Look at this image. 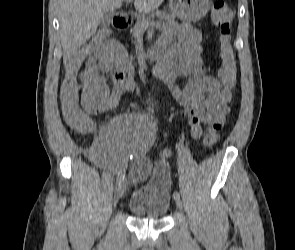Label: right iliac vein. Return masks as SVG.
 <instances>
[{
    "label": "right iliac vein",
    "mask_w": 295,
    "mask_h": 250,
    "mask_svg": "<svg viewBox=\"0 0 295 250\" xmlns=\"http://www.w3.org/2000/svg\"><path fill=\"white\" fill-rule=\"evenodd\" d=\"M126 190V182H122L120 183L114 193V197H113V203L116 204L124 195V192Z\"/></svg>",
    "instance_id": "obj_1"
}]
</instances>
